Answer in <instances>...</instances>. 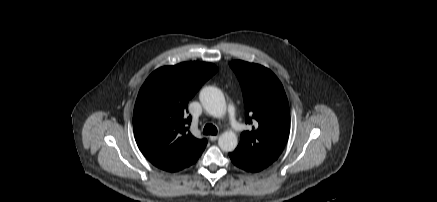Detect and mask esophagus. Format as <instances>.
<instances>
[{
  "label": "esophagus",
  "mask_w": 437,
  "mask_h": 202,
  "mask_svg": "<svg viewBox=\"0 0 437 202\" xmlns=\"http://www.w3.org/2000/svg\"><path fill=\"white\" fill-rule=\"evenodd\" d=\"M218 138H219L218 135H211V136L209 137L210 141H216Z\"/></svg>",
  "instance_id": "1"
}]
</instances>
